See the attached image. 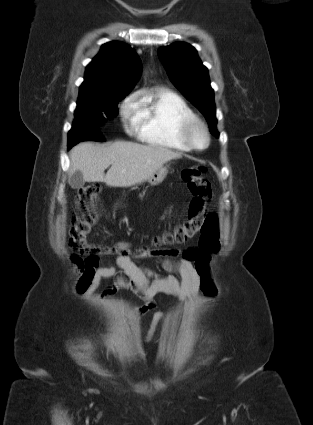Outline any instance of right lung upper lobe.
Returning a JSON list of instances; mask_svg holds the SVG:
<instances>
[{
    "mask_svg": "<svg viewBox=\"0 0 313 425\" xmlns=\"http://www.w3.org/2000/svg\"><path fill=\"white\" fill-rule=\"evenodd\" d=\"M140 72L141 62L133 48L118 41L105 43L86 67L78 101L101 98L113 93L128 94Z\"/></svg>",
    "mask_w": 313,
    "mask_h": 425,
    "instance_id": "1",
    "label": "right lung upper lobe"
}]
</instances>
